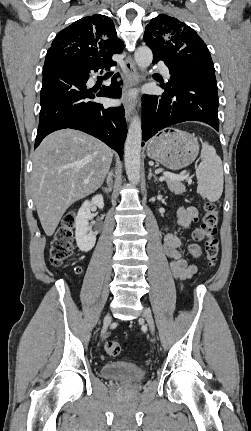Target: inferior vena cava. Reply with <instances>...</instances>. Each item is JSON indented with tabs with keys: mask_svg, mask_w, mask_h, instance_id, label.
<instances>
[{
	"mask_svg": "<svg viewBox=\"0 0 251 431\" xmlns=\"http://www.w3.org/2000/svg\"><path fill=\"white\" fill-rule=\"evenodd\" d=\"M111 180V173H109L108 177H107V183H109Z\"/></svg>",
	"mask_w": 251,
	"mask_h": 431,
	"instance_id": "1",
	"label": "inferior vena cava"
}]
</instances>
